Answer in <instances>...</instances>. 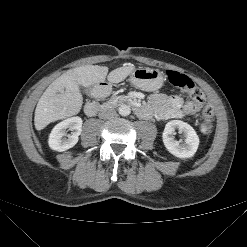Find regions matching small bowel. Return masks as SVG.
Listing matches in <instances>:
<instances>
[{
  "mask_svg": "<svg viewBox=\"0 0 247 247\" xmlns=\"http://www.w3.org/2000/svg\"><path fill=\"white\" fill-rule=\"evenodd\" d=\"M183 98L179 95L167 96L163 93H154L150 97L151 107L147 109V118L152 111L159 120L178 119L183 117Z\"/></svg>",
  "mask_w": 247,
  "mask_h": 247,
  "instance_id": "obj_1",
  "label": "small bowel"
}]
</instances>
